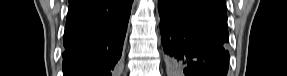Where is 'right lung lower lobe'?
I'll use <instances>...</instances> for the list:
<instances>
[{
    "mask_svg": "<svg viewBox=\"0 0 287 76\" xmlns=\"http://www.w3.org/2000/svg\"><path fill=\"white\" fill-rule=\"evenodd\" d=\"M133 0H69L64 76H112L121 58Z\"/></svg>",
    "mask_w": 287,
    "mask_h": 76,
    "instance_id": "right-lung-lower-lobe-1",
    "label": "right lung lower lobe"
}]
</instances>
